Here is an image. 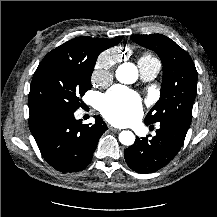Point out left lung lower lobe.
Returning a JSON list of instances; mask_svg holds the SVG:
<instances>
[{"label":"left lung lower lobe","instance_id":"obj_1","mask_svg":"<svg viewBox=\"0 0 217 217\" xmlns=\"http://www.w3.org/2000/svg\"><path fill=\"white\" fill-rule=\"evenodd\" d=\"M159 124L152 139L136 138L135 143L124 150L126 163L132 170L143 174L155 172L167 165L183 145L190 125L176 119H165Z\"/></svg>","mask_w":217,"mask_h":217}]
</instances>
